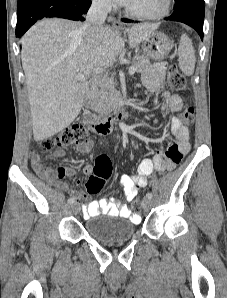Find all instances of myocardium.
I'll use <instances>...</instances> for the list:
<instances>
[{
  "mask_svg": "<svg viewBox=\"0 0 227 298\" xmlns=\"http://www.w3.org/2000/svg\"><path fill=\"white\" fill-rule=\"evenodd\" d=\"M171 5L172 0H164L162 9L156 13H139L129 9L128 7L125 8V13L128 16L138 20H159L166 17L170 13Z\"/></svg>",
  "mask_w": 227,
  "mask_h": 298,
  "instance_id": "1",
  "label": "myocardium"
}]
</instances>
